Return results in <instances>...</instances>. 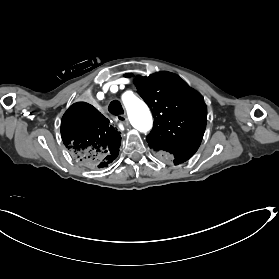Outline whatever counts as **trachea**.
<instances>
[{"instance_id": "trachea-1", "label": "trachea", "mask_w": 279, "mask_h": 279, "mask_svg": "<svg viewBox=\"0 0 279 279\" xmlns=\"http://www.w3.org/2000/svg\"><path fill=\"white\" fill-rule=\"evenodd\" d=\"M108 111L113 115L123 114L124 110L118 100H114L109 104Z\"/></svg>"}]
</instances>
